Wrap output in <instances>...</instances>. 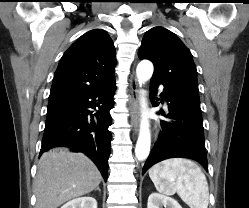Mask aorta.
I'll list each match as a JSON object with an SVG mask.
<instances>
[{"mask_svg":"<svg viewBox=\"0 0 249 208\" xmlns=\"http://www.w3.org/2000/svg\"><path fill=\"white\" fill-rule=\"evenodd\" d=\"M153 64L149 60L141 61L136 69L139 83L142 84L149 80L153 74ZM141 105L144 110L147 109V103L145 98L142 96ZM151 136L149 130V120L144 115L141 120L140 133L136 143L135 156L138 160L143 161L146 159L150 152Z\"/></svg>","mask_w":249,"mask_h":208,"instance_id":"1","label":"aorta"}]
</instances>
